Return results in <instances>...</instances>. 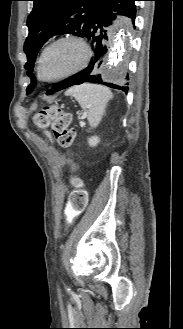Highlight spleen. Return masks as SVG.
<instances>
[{"label": "spleen", "mask_w": 183, "mask_h": 329, "mask_svg": "<svg viewBox=\"0 0 183 329\" xmlns=\"http://www.w3.org/2000/svg\"><path fill=\"white\" fill-rule=\"evenodd\" d=\"M67 96H73L87 115L91 128L100 123L109 100L113 98L111 91L101 85L82 84L66 91Z\"/></svg>", "instance_id": "1"}]
</instances>
